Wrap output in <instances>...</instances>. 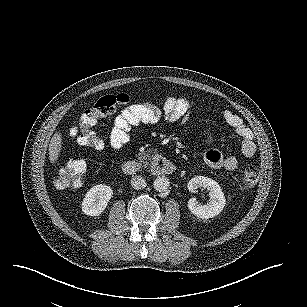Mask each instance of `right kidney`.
<instances>
[{"mask_svg":"<svg viewBox=\"0 0 307 307\" xmlns=\"http://www.w3.org/2000/svg\"><path fill=\"white\" fill-rule=\"evenodd\" d=\"M113 196L110 186L99 184L93 186L83 198L82 212L88 216H99L106 209Z\"/></svg>","mask_w":307,"mask_h":307,"instance_id":"ca27d5eb","label":"right kidney"}]
</instances>
